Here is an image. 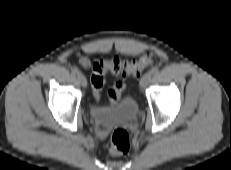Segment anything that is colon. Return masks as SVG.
<instances>
[{
	"label": "colon",
	"instance_id": "1",
	"mask_svg": "<svg viewBox=\"0 0 231 170\" xmlns=\"http://www.w3.org/2000/svg\"><path fill=\"white\" fill-rule=\"evenodd\" d=\"M152 62L151 54H144L137 59L127 60L114 57L111 60H99L93 64L91 74V86L93 95L98 98L104 85V77L107 72H112L118 78L108 92L111 102L118 101L125 88L124 78L129 75H139ZM130 138L128 132L123 128L116 129L110 139L109 152L114 155L128 152Z\"/></svg>",
	"mask_w": 231,
	"mask_h": 170
}]
</instances>
